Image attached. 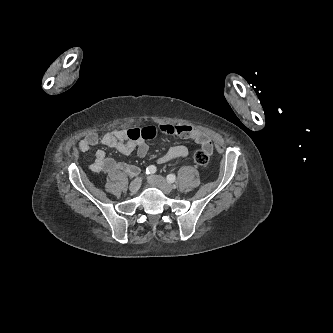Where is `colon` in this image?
I'll return each mask as SVG.
<instances>
[{
  "label": "colon",
  "mask_w": 333,
  "mask_h": 333,
  "mask_svg": "<svg viewBox=\"0 0 333 333\" xmlns=\"http://www.w3.org/2000/svg\"><path fill=\"white\" fill-rule=\"evenodd\" d=\"M209 159H210L209 155L203 150H198L194 154V161L199 166L207 165Z\"/></svg>",
  "instance_id": "colon-1"
}]
</instances>
